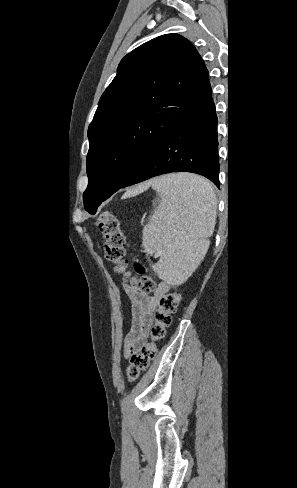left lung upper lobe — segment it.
Masks as SVG:
<instances>
[{
  "mask_svg": "<svg viewBox=\"0 0 297 488\" xmlns=\"http://www.w3.org/2000/svg\"><path fill=\"white\" fill-rule=\"evenodd\" d=\"M211 99L208 70L181 35L156 37L127 54L88 128L86 211L95 214L168 134Z\"/></svg>",
  "mask_w": 297,
  "mask_h": 488,
  "instance_id": "1",
  "label": "left lung upper lobe"
}]
</instances>
